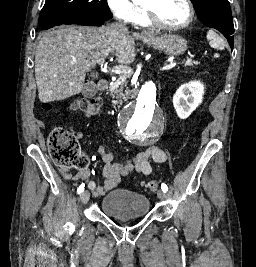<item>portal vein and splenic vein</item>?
Returning <instances> with one entry per match:
<instances>
[{"label": "portal vein and splenic vein", "mask_w": 256, "mask_h": 267, "mask_svg": "<svg viewBox=\"0 0 256 267\" xmlns=\"http://www.w3.org/2000/svg\"><path fill=\"white\" fill-rule=\"evenodd\" d=\"M99 64H101V66H103L104 64V60H101V62H99ZM176 65V62H172V64L170 63H165L164 64V68H162V70H170V68H173V66ZM133 68L132 67H127L125 68V66H113L111 72H114V74H133Z\"/></svg>", "instance_id": "18ae733b"}]
</instances>
